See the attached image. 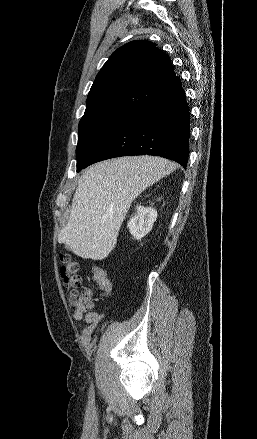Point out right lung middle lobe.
I'll list each match as a JSON object with an SVG mask.
<instances>
[{
  "label": "right lung middle lobe",
  "mask_w": 257,
  "mask_h": 439,
  "mask_svg": "<svg viewBox=\"0 0 257 439\" xmlns=\"http://www.w3.org/2000/svg\"><path fill=\"white\" fill-rule=\"evenodd\" d=\"M126 118L127 116L118 114H95L82 117L79 122L76 149L77 172L83 168L108 135Z\"/></svg>",
  "instance_id": "right-lung-middle-lobe-1"
}]
</instances>
